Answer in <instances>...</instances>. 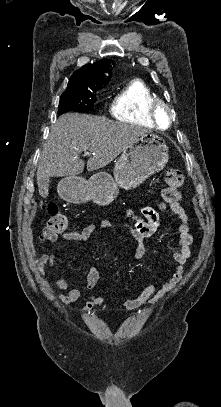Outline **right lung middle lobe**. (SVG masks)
<instances>
[{
  "label": "right lung middle lobe",
  "instance_id": "right-lung-middle-lobe-1",
  "mask_svg": "<svg viewBox=\"0 0 221 407\" xmlns=\"http://www.w3.org/2000/svg\"><path fill=\"white\" fill-rule=\"evenodd\" d=\"M98 90L100 89L68 90L63 92L59 101L58 114L74 110H92L96 99L95 94Z\"/></svg>",
  "mask_w": 221,
  "mask_h": 407
}]
</instances>
